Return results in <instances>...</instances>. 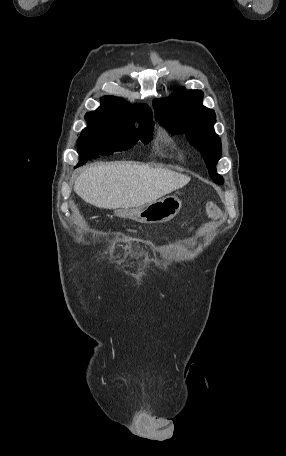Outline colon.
Wrapping results in <instances>:
<instances>
[{"mask_svg":"<svg viewBox=\"0 0 286 456\" xmlns=\"http://www.w3.org/2000/svg\"><path fill=\"white\" fill-rule=\"evenodd\" d=\"M209 209H213L214 205L212 203L208 204Z\"/></svg>","mask_w":286,"mask_h":456,"instance_id":"1","label":"colon"}]
</instances>
